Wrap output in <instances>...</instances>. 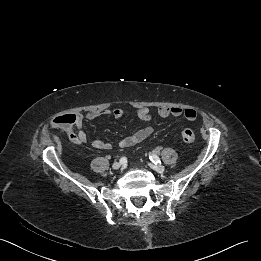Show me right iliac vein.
<instances>
[{
  "label": "right iliac vein",
  "instance_id": "1",
  "mask_svg": "<svg viewBox=\"0 0 261 261\" xmlns=\"http://www.w3.org/2000/svg\"><path fill=\"white\" fill-rule=\"evenodd\" d=\"M120 167H121V163H119V162H115V163L112 165V168H113L114 170H118Z\"/></svg>",
  "mask_w": 261,
  "mask_h": 261
}]
</instances>
